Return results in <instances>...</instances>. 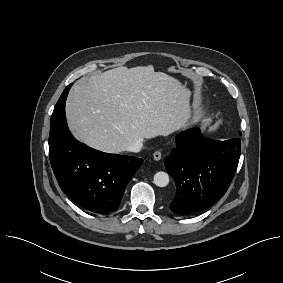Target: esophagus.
<instances>
[{"instance_id":"34e87169","label":"esophagus","mask_w":283,"mask_h":283,"mask_svg":"<svg viewBox=\"0 0 283 283\" xmlns=\"http://www.w3.org/2000/svg\"><path fill=\"white\" fill-rule=\"evenodd\" d=\"M153 158H154V160L159 161L162 158L161 152L160 151H155L153 153Z\"/></svg>"}]
</instances>
